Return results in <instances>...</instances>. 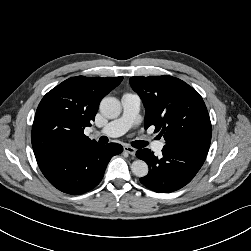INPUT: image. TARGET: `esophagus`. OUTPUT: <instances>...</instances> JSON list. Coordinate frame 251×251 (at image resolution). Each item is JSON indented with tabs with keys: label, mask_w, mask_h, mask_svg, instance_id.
I'll return each mask as SVG.
<instances>
[{
	"label": "esophagus",
	"mask_w": 251,
	"mask_h": 251,
	"mask_svg": "<svg viewBox=\"0 0 251 251\" xmlns=\"http://www.w3.org/2000/svg\"><path fill=\"white\" fill-rule=\"evenodd\" d=\"M124 151L127 152V153H129L132 156H135V153H136V149L133 148V147H131V146H129V145H125L124 146Z\"/></svg>",
	"instance_id": "1"
}]
</instances>
